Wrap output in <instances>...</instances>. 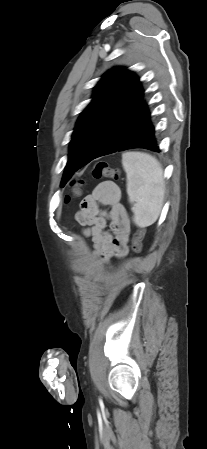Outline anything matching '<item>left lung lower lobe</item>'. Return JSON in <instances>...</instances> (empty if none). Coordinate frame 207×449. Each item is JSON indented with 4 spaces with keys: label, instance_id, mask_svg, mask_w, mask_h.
<instances>
[{
    "label": "left lung lower lobe",
    "instance_id": "0a47b994",
    "mask_svg": "<svg viewBox=\"0 0 207 449\" xmlns=\"http://www.w3.org/2000/svg\"><path fill=\"white\" fill-rule=\"evenodd\" d=\"M130 148H144L160 152L145 101L128 113L109 133L94 159Z\"/></svg>",
    "mask_w": 207,
    "mask_h": 449
}]
</instances>
